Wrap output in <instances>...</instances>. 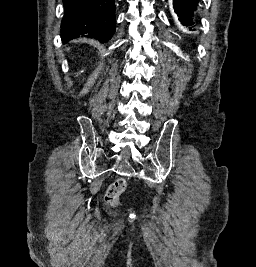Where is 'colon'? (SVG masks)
I'll return each mask as SVG.
<instances>
[{"mask_svg": "<svg viewBox=\"0 0 256 267\" xmlns=\"http://www.w3.org/2000/svg\"><path fill=\"white\" fill-rule=\"evenodd\" d=\"M127 183L124 179L120 178L113 181L104 194V201L108 206H114L118 198L125 192Z\"/></svg>", "mask_w": 256, "mask_h": 267, "instance_id": "colon-1", "label": "colon"}]
</instances>
